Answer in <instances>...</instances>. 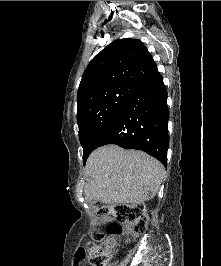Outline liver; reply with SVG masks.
<instances>
[{"instance_id":"6515ba94","label":"liver","mask_w":221,"mask_h":266,"mask_svg":"<svg viewBox=\"0 0 221 266\" xmlns=\"http://www.w3.org/2000/svg\"><path fill=\"white\" fill-rule=\"evenodd\" d=\"M165 169L142 151L107 145L93 151L85 166L84 193L105 204H140L152 199Z\"/></svg>"}]
</instances>
